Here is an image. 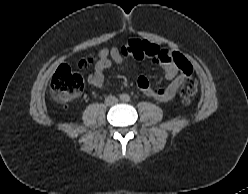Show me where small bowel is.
<instances>
[{
    "mask_svg": "<svg viewBox=\"0 0 248 194\" xmlns=\"http://www.w3.org/2000/svg\"><path fill=\"white\" fill-rule=\"evenodd\" d=\"M153 45L156 48V52L151 57L156 64L162 67L165 77L170 79L171 82L165 88L153 87L149 79L141 75L137 80V84L139 89L147 96L159 102L166 103L175 97L187 75L186 67L190 66V64L181 55L180 59H178L177 53L162 50L155 44ZM127 55H132V41L122 48L112 47L101 49L98 53V60L95 64L94 72L88 78L89 85L95 88H103L105 83L104 72L108 70L113 63H123L124 57Z\"/></svg>",
    "mask_w": 248,
    "mask_h": 194,
    "instance_id": "obj_1",
    "label": "small bowel"
}]
</instances>
